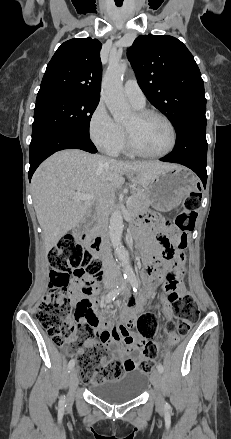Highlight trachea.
<instances>
[{"instance_id": "1", "label": "trachea", "mask_w": 231, "mask_h": 439, "mask_svg": "<svg viewBox=\"0 0 231 439\" xmlns=\"http://www.w3.org/2000/svg\"><path fill=\"white\" fill-rule=\"evenodd\" d=\"M116 5H117L118 7H121V6H122V2H117V1H116Z\"/></svg>"}]
</instances>
